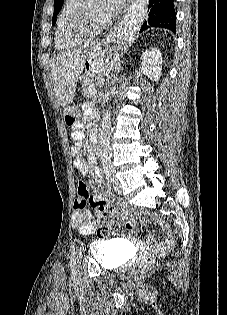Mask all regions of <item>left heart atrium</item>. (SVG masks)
I'll list each match as a JSON object with an SVG mask.
<instances>
[{"label": "left heart atrium", "mask_w": 227, "mask_h": 315, "mask_svg": "<svg viewBox=\"0 0 227 315\" xmlns=\"http://www.w3.org/2000/svg\"><path fill=\"white\" fill-rule=\"evenodd\" d=\"M126 3L127 0H103L101 6V16L103 20H111L126 6Z\"/></svg>", "instance_id": "obj_1"}]
</instances>
